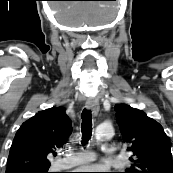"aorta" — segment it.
<instances>
[{
  "instance_id": "1",
  "label": "aorta",
  "mask_w": 173,
  "mask_h": 173,
  "mask_svg": "<svg viewBox=\"0 0 173 173\" xmlns=\"http://www.w3.org/2000/svg\"><path fill=\"white\" fill-rule=\"evenodd\" d=\"M95 135L98 139L110 138L114 135V128L110 123H103L97 126Z\"/></svg>"
}]
</instances>
